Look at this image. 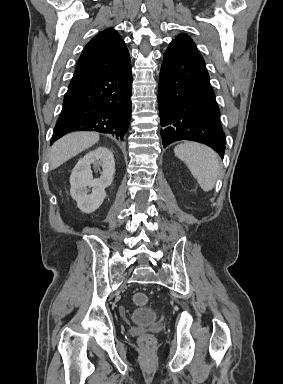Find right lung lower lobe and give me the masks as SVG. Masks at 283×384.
<instances>
[{
  "label": "right lung lower lobe",
  "instance_id": "obj_1",
  "mask_svg": "<svg viewBox=\"0 0 283 384\" xmlns=\"http://www.w3.org/2000/svg\"><path fill=\"white\" fill-rule=\"evenodd\" d=\"M131 63L73 81L63 100L51 143L73 131H98L122 138L131 119Z\"/></svg>",
  "mask_w": 283,
  "mask_h": 384
}]
</instances>
